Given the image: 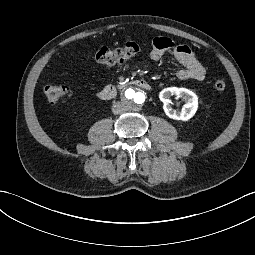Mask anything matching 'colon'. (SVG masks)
Listing matches in <instances>:
<instances>
[{
  "label": "colon",
  "instance_id": "colon-1",
  "mask_svg": "<svg viewBox=\"0 0 255 255\" xmlns=\"http://www.w3.org/2000/svg\"><path fill=\"white\" fill-rule=\"evenodd\" d=\"M141 47L139 43L133 40L125 42L121 48H98L93 54L92 58L101 64H117L130 59L137 55ZM226 84L223 80H217L214 83V89L217 93H221L225 90ZM69 88L63 84H47L44 86L43 92L50 104H57L68 93Z\"/></svg>",
  "mask_w": 255,
  "mask_h": 255
}]
</instances>
